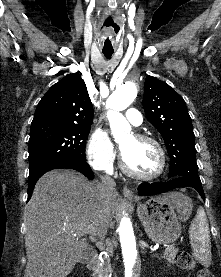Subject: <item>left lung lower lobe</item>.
<instances>
[{
    "mask_svg": "<svg viewBox=\"0 0 221 277\" xmlns=\"http://www.w3.org/2000/svg\"><path fill=\"white\" fill-rule=\"evenodd\" d=\"M179 187H192L196 189L201 197L205 200L204 191L200 179H191L187 177L172 178L167 182L142 183L138 186L139 195H156L161 194Z\"/></svg>",
    "mask_w": 221,
    "mask_h": 277,
    "instance_id": "0a47b994",
    "label": "left lung lower lobe"
}]
</instances>
